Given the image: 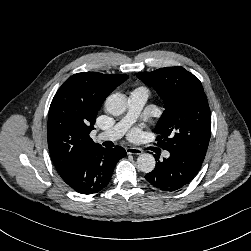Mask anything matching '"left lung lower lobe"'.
Instances as JSON below:
<instances>
[{
  "mask_svg": "<svg viewBox=\"0 0 251 251\" xmlns=\"http://www.w3.org/2000/svg\"><path fill=\"white\" fill-rule=\"evenodd\" d=\"M155 169L145 176L154 187L163 191H176L189 184L196 176L203 161L185 152H170V157L159 161Z\"/></svg>",
  "mask_w": 251,
  "mask_h": 251,
  "instance_id": "obj_1",
  "label": "left lung lower lobe"
}]
</instances>
